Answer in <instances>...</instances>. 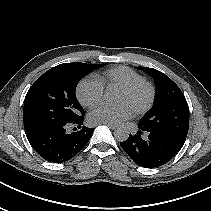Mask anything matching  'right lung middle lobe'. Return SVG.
I'll return each mask as SVG.
<instances>
[{
  "mask_svg": "<svg viewBox=\"0 0 211 211\" xmlns=\"http://www.w3.org/2000/svg\"><path fill=\"white\" fill-rule=\"evenodd\" d=\"M104 65L64 63L41 75L25 97L24 128L68 124L81 119L84 109L76 99V86L81 78Z\"/></svg>",
  "mask_w": 211,
  "mask_h": 211,
  "instance_id": "right-lung-middle-lobe-1",
  "label": "right lung middle lobe"
}]
</instances>
